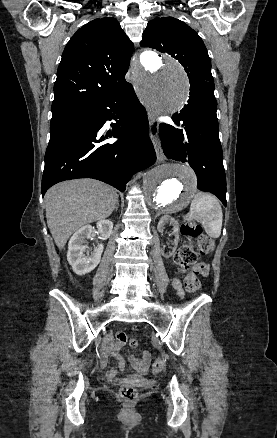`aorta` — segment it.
I'll list each match as a JSON object with an SVG mask.
<instances>
[{
  "instance_id": "1",
  "label": "aorta",
  "mask_w": 277,
  "mask_h": 438,
  "mask_svg": "<svg viewBox=\"0 0 277 438\" xmlns=\"http://www.w3.org/2000/svg\"><path fill=\"white\" fill-rule=\"evenodd\" d=\"M133 75L138 96L154 114H173L184 106L188 81L175 59L144 51ZM196 182L194 172L184 164L159 165L144 176L145 202L155 214L176 213L189 203Z\"/></svg>"
}]
</instances>
